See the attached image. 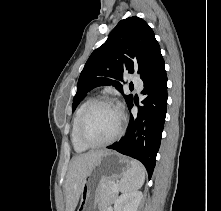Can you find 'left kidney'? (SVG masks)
<instances>
[{
  "mask_svg": "<svg viewBox=\"0 0 221 211\" xmlns=\"http://www.w3.org/2000/svg\"><path fill=\"white\" fill-rule=\"evenodd\" d=\"M141 199L140 191L124 193L115 201L114 211H137Z\"/></svg>",
  "mask_w": 221,
  "mask_h": 211,
  "instance_id": "left-kidney-1",
  "label": "left kidney"
}]
</instances>
